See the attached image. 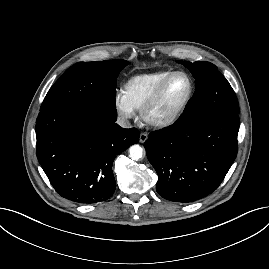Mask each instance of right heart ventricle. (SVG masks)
<instances>
[{
	"label": "right heart ventricle",
	"instance_id": "right-heart-ventricle-1",
	"mask_svg": "<svg viewBox=\"0 0 269 269\" xmlns=\"http://www.w3.org/2000/svg\"><path fill=\"white\" fill-rule=\"evenodd\" d=\"M171 73L164 70L133 76L125 83L123 93L135 110H141L158 85Z\"/></svg>",
	"mask_w": 269,
	"mask_h": 269
}]
</instances>
